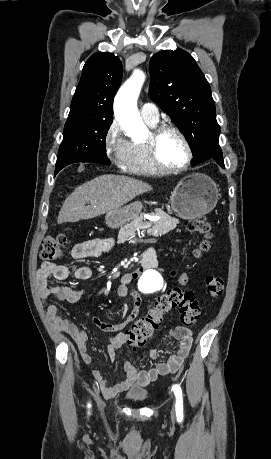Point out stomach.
<instances>
[{
    "instance_id": "obj_1",
    "label": "stomach",
    "mask_w": 271,
    "mask_h": 459,
    "mask_svg": "<svg viewBox=\"0 0 271 459\" xmlns=\"http://www.w3.org/2000/svg\"><path fill=\"white\" fill-rule=\"evenodd\" d=\"M218 188L205 174H192L183 178L172 192L171 208L179 218L194 220L212 212L219 198ZM141 212L140 204H130L114 212H108L106 222L111 224H127L135 220Z\"/></svg>"
}]
</instances>
